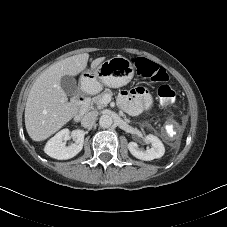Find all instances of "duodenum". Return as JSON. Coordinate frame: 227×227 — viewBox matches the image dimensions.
Masks as SVG:
<instances>
[{"mask_svg":"<svg viewBox=\"0 0 227 227\" xmlns=\"http://www.w3.org/2000/svg\"><path fill=\"white\" fill-rule=\"evenodd\" d=\"M75 102L80 106V110H79V115L84 114L90 106L89 101L86 99L85 94L84 93H79L76 96ZM79 116H77L76 118L78 119Z\"/></svg>","mask_w":227,"mask_h":227,"instance_id":"410a0bca","label":"duodenum"}]
</instances>
